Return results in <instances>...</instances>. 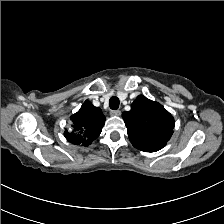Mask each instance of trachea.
<instances>
[{"mask_svg":"<svg viewBox=\"0 0 224 224\" xmlns=\"http://www.w3.org/2000/svg\"><path fill=\"white\" fill-rule=\"evenodd\" d=\"M119 104H120V101L116 96H113V97L110 98L109 106L112 110L118 109Z\"/></svg>","mask_w":224,"mask_h":224,"instance_id":"3493384b","label":"trachea"}]
</instances>
